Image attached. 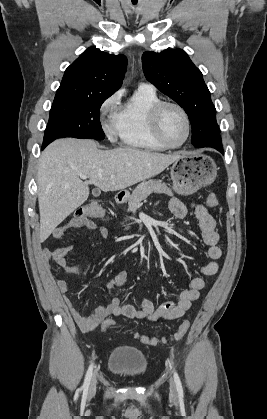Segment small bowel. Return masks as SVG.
<instances>
[{
	"label": "small bowel",
	"mask_w": 267,
	"mask_h": 419,
	"mask_svg": "<svg viewBox=\"0 0 267 419\" xmlns=\"http://www.w3.org/2000/svg\"><path fill=\"white\" fill-rule=\"evenodd\" d=\"M189 207L194 211L195 217L201 228L202 240L207 246L209 262L201 267L200 273L202 276L195 277L189 281L188 286L180 292L179 300L177 302L169 301L163 303L159 307H155L150 300H143L139 308H136L133 305L121 304L120 298L115 296L108 304L93 310L89 316H83L77 310L73 301L66 295V281L63 278H58L55 281L57 289L62 294L67 308L82 331L88 332L95 329L105 318L111 315L125 316L132 319H147L152 323H161L180 318L189 310L192 302L200 297L201 290L208 284L204 277L214 276L218 272V260L222 255V250L218 246L219 236L215 230L216 223L207 208L198 203L187 205L177 198H173L169 202L170 212L178 219H183L187 216ZM80 228L96 232L103 239H106L109 236L107 228L100 226L92 219L71 218L53 232V237L61 239L69 231ZM71 249L72 246L70 244L55 249H44L41 257L47 270L50 271L49 262L53 261L61 267L66 274L87 273L88 269L86 267L70 266L68 264L66 255ZM127 277L128 272L126 270L119 271L106 283L107 291L111 294L114 289L122 287L125 284Z\"/></svg>",
	"instance_id": "c3829d8e"
}]
</instances>
